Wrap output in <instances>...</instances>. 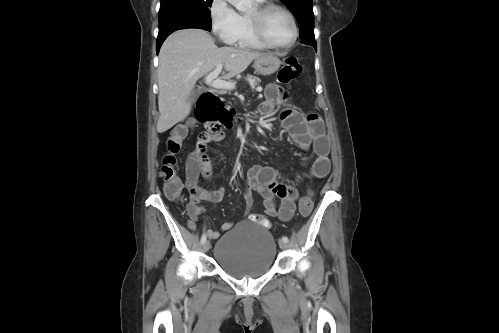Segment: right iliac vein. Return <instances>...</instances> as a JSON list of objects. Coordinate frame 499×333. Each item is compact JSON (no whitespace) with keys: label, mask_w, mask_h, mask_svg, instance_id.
<instances>
[{"label":"right iliac vein","mask_w":499,"mask_h":333,"mask_svg":"<svg viewBox=\"0 0 499 333\" xmlns=\"http://www.w3.org/2000/svg\"><path fill=\"white\" fill-rule=\"evenodd\" d=\"M210 247H211L210 242L209 241H205L204 244H203V250L205 252H207V251H209Z\"/></svg>","instance_id":"right-iliac-vein-1"}]
</instances>
